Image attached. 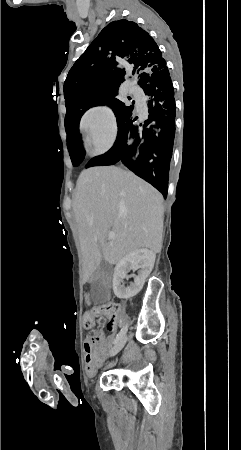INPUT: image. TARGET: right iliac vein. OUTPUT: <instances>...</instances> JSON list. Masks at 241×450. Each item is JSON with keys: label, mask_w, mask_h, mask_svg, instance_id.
Listing matches in <instances>:
<instances>
[{"label": "right iliac vein", "mask_w": 241, "mask_h": 450, "mask_svg": "<svg viewBox=\"0 0 241 450\" xmlns=\"http://www.w3.org/2000/svg\"><path fill=\"white\" fill-rule=\"evenodd\" d=\"M127 341V337L124 336L121 340H119L114 347L111 348L109 354L110 356L116 355L125 345Z\"/></svg>", "instance_id": "obj_1"}]
</instances>
